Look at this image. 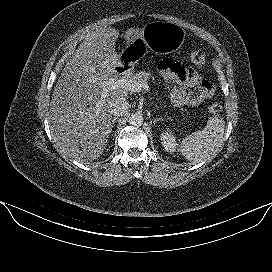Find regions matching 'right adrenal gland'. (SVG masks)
Listing matches in <instances>:
<instances>
[{
	"mask_svg": "<svg viewBox=\"0 0 272 272\" xmlns=\"http://www.w3.org/2000/svg\"><path fill=\"white\" fill-rule=\"evenodd\" d=\"M117 120H118V117H114L112 119V125H111L112 128L115 127V123H116Z\"/></svg>",
	"mask_w": 272,
	"mask_h": 272,
	"instance_id": "obj_1",
	"label": "right adrenal gland"
}]
</instances>
